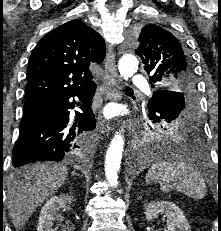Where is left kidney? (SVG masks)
<instances>
[{"instance_id":"5707ae66","label":"left kidney","mask_w":221,"mask_h":231,"mask_svg":"<svg viewBox=\"0 0 221 231\" xmlns=\"http://www.w3.org/2000/svg\"><path fill=\"white\" fill-rule=\"evenodd\" d=\"M145 218L153 220L159 213L167 217V226L164 231H191V227L182 210L168 201H153L145 205Z\"/></svg>"}]
</instances>
